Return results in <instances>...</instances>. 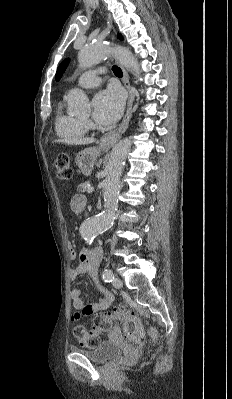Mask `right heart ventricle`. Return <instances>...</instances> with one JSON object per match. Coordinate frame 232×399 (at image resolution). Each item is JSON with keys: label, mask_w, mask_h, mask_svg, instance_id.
<instances>
[{"label": "right heart ventricle", "mask_w": 232, "mask_h": 399, "mask_svg": "<svg viewBox=\"0 0 232 399\" xmlns=\"http://www.w3.org/2000/svg\"><path fill=\"white\" fill-rule=\"evenodd\" d=\"M54 131L63 141L77 142L87 134L88 124L84 119L66 114L59 108L54 120Z\"/></svg>", "instance_id": "e07e8e85"}]
</instances>
